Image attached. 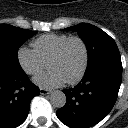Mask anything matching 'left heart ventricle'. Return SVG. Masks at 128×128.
<instances>
[{
  "label": "left heart ventricle",
  "instance_id": "1",
  "mask_svg": "<svg viewBox=\"0 0 128 128\" xmlns=\"http://www.w3.org/2000/svg\"><path fill=\"white\" fill-rule=\"evenodd\" d=\"M84 61V53L81 44L78 41L71 42L63 57L57 61L50 62L48 68L56 70L65 79V81L75 78Z\"/></svg>",
  "mask_w": 128,
  "mask_h": 128
}]
</instances>
